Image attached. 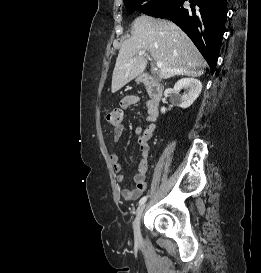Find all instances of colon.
<instances>
[{"label": "colon", "mask_w": 261, "mask_h": 273, "mask_svg": "<svg viewBox=\"0 0 261 273\" xmlns=\"http://www.w3.org/2000/svg\"><path fill=\"white\" fill-rule=\"evenodd\" d=\"M123 113L121 109H113L107 114V122L112 126H119L122 123Z\"/></svg>", "instance_id": "obj_1"}]
</instances>
